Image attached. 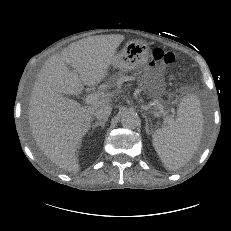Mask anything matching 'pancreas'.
<instances>
[{"instance_id":"1","label":"pancreas","mask_w":231,"mask_h":231,"mask_svg":"<svg viewBox=\"0 0 231 231\" xmlns=\"http://www.w3.org/2000/svg\"><path fill=\"white\" fill-rule=\"evenodd\" d=\"M129 79H132V77L119 76L118 81L123 82V81L129 80Z\"/></svg>"}]
</instances>
